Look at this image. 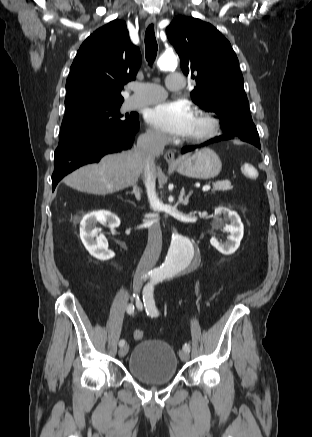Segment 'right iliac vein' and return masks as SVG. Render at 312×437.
Returning a JSON list of instances; mask_svg holds the SVG:
<instances>
[{
    "instance_id": "63e3f726",
    "label": "right iliac vein",
    "mask_w": 312,
    "mask_h": 437,
    "mask_svg": "<svg viewBox=\"0 0 312 437\" xmlns=\"http://www.w3.org/2000/svg\"><path fill=\"white\" fill-rule=\"evenodd\" d=\"M128 350H129L128 345H124V346H122V347L119 349V356H120V357H124V356L127 354Z\"/></svg>"
}]
</instances>
